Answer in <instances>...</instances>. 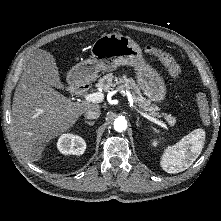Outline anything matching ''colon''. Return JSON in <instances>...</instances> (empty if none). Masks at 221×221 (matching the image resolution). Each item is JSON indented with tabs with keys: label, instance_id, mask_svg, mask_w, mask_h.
<instances>
[{
	"label": "colon",
	"instance_id": "5ec220e1",
	"mask_svg": "<svg viewBox=\"0 0 221 221\" xmlns=\"http://www.w3.org/2000/svg\"><path fill=\"white\" fill-rule=\"evenodd\" d=\"M145 52L147 54L157 57L167 67L172 76L176 78L180 77V67L170 53L152 46H147L145 48ZM194 99L197 104L202 123L204 125H209L210 109L206 96L203 93H196Z\"/></svg>",
	"mask_w": 221,
	"mask_h": 221
}]
</instances>
